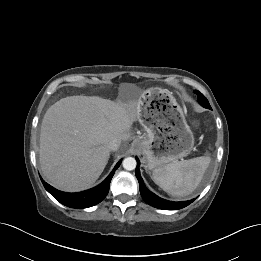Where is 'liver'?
I'll return each instance as SVG.
<instances>
[{"mask_svg":"<svg viewBox=\"0 0 261 261\" xmlns=\"http://www.w3.org/2000/svg\"><path fill=\"white\" fill-rule=\"evenodd\" d=\"M140 103L70 96L53 104L40 132L39 161L46 180L67 192L89 188L108 162V143L130 138Z\"/></svg>","mask_w":261,"mask_h":261,"instance_id":"1","label":"liver"}]
</instances>
